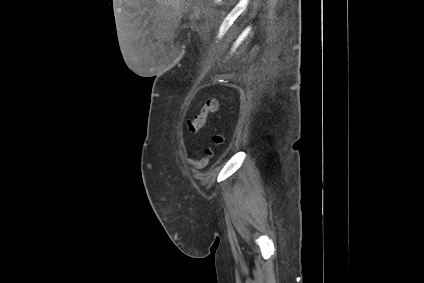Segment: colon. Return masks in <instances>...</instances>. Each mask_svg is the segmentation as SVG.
Segmentation results:
<instances>
[{
  "label": "colon",
  "mask_w": 424,
  "mask_h": 283,
  "mask_svg": "<svg viewBox=\"0 0 424 283\" xmlns=\"http://www.w3.org/2000/svg\"><path fill=\"white\" fill-rule=\"evenodd\" d=\"M218 108H219L218 100L216 99L208 100L199 114L188 119L189 132L196 133L200 131L204 127L207 117L210 114L216 113L218 111ZM223 142H224V136L222 133H217L212 137L213 147L220 146ZM213 147L209 146L205 148L204 157L202 159L191 161L192 166L195 169L201 170L208 164V162L213 156Z\"/></svg>",
  "instance_id": "1"
}]
</instances>
